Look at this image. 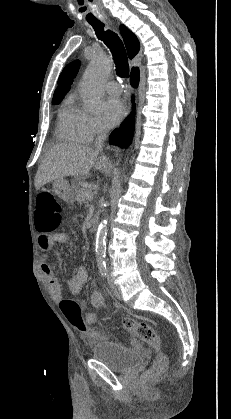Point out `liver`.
<instances>
[{
  "instance_id": "obj_1",
  "label": "liver",
  "mask_w": 231,
  "mask_h": 419,
  "mask_svg": "<svg viewBox=\"0 0 231 419\" xmlns=\"http://www.w3.org/2000/svg\"><path fill=\"white\" fill-rule=\"evenodd\" d=\"M92 168L107 173L112 169V164L92 148L74 143L56 144L42 160L34 185L39 190L46 183L59 178L87 175Z\"/></svg>"
}]
</instances>
